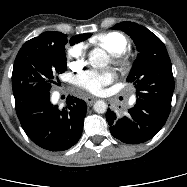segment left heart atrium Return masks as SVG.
<instances>
[{
    "label": "left heart atrium",
    "instance_id": "obj_1",
    "mask_svg": "<svg viewBox=\"0 0 187 187\" xmlns=\"http://www.w3.org/2000/svg\"><path fill=\"white\" fill-rule=\"evenodd\" d=\"M116 75L113 71H89L83 74L79 80V86L92 94H100L104 88L111 84Z\"/></svg>",
    "mask_w": 187,
    "mask_h": 187
}]
</instances>
